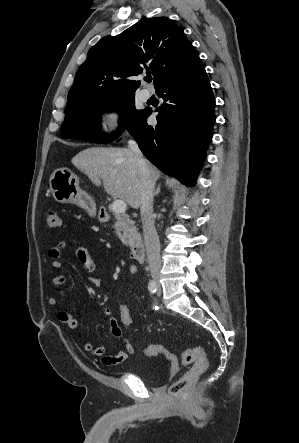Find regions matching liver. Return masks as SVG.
<instances>
[{
  "label": "liver",
  "mask_w": 299,
  "mask_h": 443,
  "mask_svg": "<svg viewBox=\"0 0 299 443\" xmlns=\"http://www.w3.org/2000/svg\"><path fill=\"white\" fill-rule=\"evenodd\" d=\"M72 164L91 180H102L107 194L120 198L130 207L140 206V176L133 152L127 148L91 147L80 151ZM154 181L161 173L146 161Z\"/></svg>",
  "instance_id": "1"
}]
</instances>
